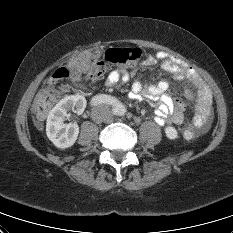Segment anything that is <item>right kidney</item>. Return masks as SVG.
<instances>
[{
  "label": "right kidney",
  "instance_id": "ca27d5eb",
  "mask_svg": "<svg viewBox=\"0 0 233 233\" xmlns=\"http://www.w3.org/2000/svg\"><path fill=\"white\" fill-rule=\"evenodd\" d=\"M86 105L87 102L83 96L71 95L59 101L50 111L47 118L46 133L49 140L57 148L66 149L76 142L79 126L76 123L65 124L64 120L70 110L81 115Z\"/></svg>",
  "mask_w": 233,
  "mask_h": 233
}]
</instances>
